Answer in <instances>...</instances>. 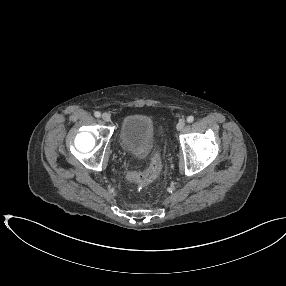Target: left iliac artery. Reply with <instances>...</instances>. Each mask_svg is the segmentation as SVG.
Masks as SVG:
<instances>
[{
    "label": "left iliac artery",
    "instance_id": "1",
    "mask_svg": "<svg viewBox=\"0 0 286 286\" xmlns=\"http://www.w3.org/2000/svg\"><path fill=\"white\" fill-rule=\"evenodd\" d=\"M193 121H194V117L193 116H188L187 122L188 123H192Z\"/></svg>",
    "mask_w": 286,
    "mask_h": 286
}]
</instances>
